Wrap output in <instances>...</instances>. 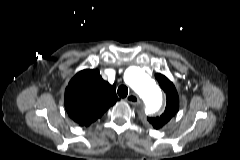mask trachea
<instances>
[{
  "mask_svg": "<svg viewBox=\"0 0 240 160\" xmlns=\"http://www.w3.org/2000/svg\"><path fill=\"white\" fill-rule=\"evenodd\" d=\"M117 92L121 98H125L128 95V88L125 85H121L119 86Z\"/></svg>",
  "mask_w": 240,
  "mask_h": 160,
  "instance_id": "1",
  "label": "trachea"
}]
</instances>
